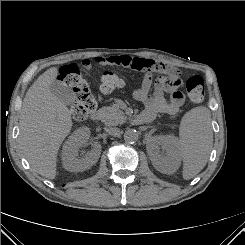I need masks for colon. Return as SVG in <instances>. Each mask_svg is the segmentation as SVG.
I'll return each mask as SVG.
<instances>
[{"label":"colon","mask_w":245,"mask_h":245,"mask_svg":"<svg viewBox=\"0 0 245 245\" xmlns=\"http://www.w3.org/2000/svg\"><path fill=\"white\" fill-rule=\"evenodd\" d=\"M159 64V63H158ZM160 69L171 79H179L180 71L173 66L159 64ZM62 84L72 88L73 101L71 114L76 120L87 118L97 107L95 97L89 89L87 81L83 78L80 68L76 64L64 66L59 75ZM123 85V80L114 72H105L101 77L100 89L110 93ZM185 88L189 99L193 103H200L205 96L204 81L200 76H192L187 79Z\"/></svg>","instance_id":"obj_1"}]
</instances>
